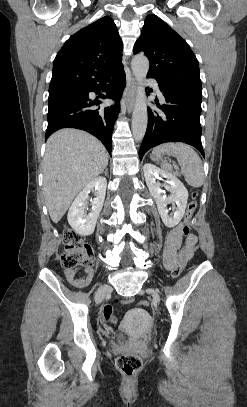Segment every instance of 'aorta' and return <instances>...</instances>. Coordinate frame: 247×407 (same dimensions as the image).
<instances>
[{
    "mask_svg": "<svg viewBox=\"0 0 247 407\" xmlns=\"http://www.w3.org/2000/svg\"><path fill=\"white\" fill-rule=\"evenodd\" d=\"M133 75L137 82L136 102L132 114V133L137 141H141L147 128V104L144 80L149 69V61L143 54L134 56L131 61Z\"/></svg>",
    "mask_w": 247,
    "mask_h": 407,
    "instance_id": "obj_1",
    "label": "aorta"
}]
</instances>
